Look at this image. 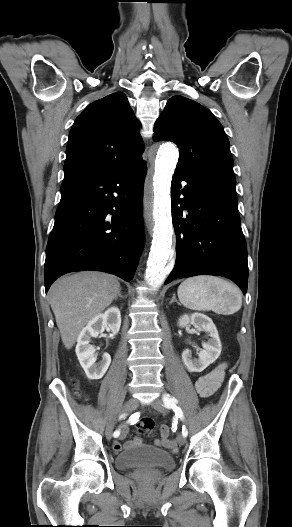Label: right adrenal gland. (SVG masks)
I'll list each match as a JSON object with an SVG mask.
<instances>
[{"mask_svg":"<svg viewBox=\"0 0 292 527\" xmlns=\"http://www.w3.org/2000/svg\"><path fill=\"white\" fill-rule=\"evenodd\" d=\"M118 297H119V298H122V299L124 298V296L121 294V292L118 293V295L115 297V300H117Z\"/></svg>","mask_w":292,"mask_h":527,"instance_id":"obj_1","label":"right adrenal gland"}]
</instances>
